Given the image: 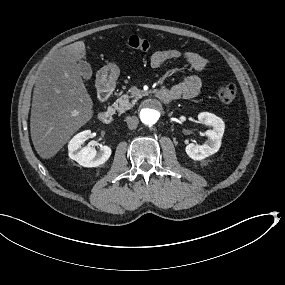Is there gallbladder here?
Listing matches in <instances>:
<instances>
[{"mask_svg":"<svg viewBox=\"0 0 285 285\" xmlns=\"http://www.w3.org/2000/svg\"><path fill=\"white\" fill-rule=\"evenodd\" d=\"M78 68L81 72V76L84 80L90 81L93 76V71L91 69V66L87 62H80L78 65Z\"/></svg>","mask_w":285,"mask_h":285,"instance_id":"gallbladder-1","label":"gallbladder"}]
</instances>
